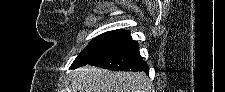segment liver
I'll return each instance as SVG.
<instances>
[{"mask_svg": "<svg viewBox=\"0 0 225 92\" xmlns=\"http://www.w3.org/2000/svg\"><path fill=\"white\" fill-rule=\"evenodd\" d=\"M72 92H151L143 72H113L85 66L72 72Z\"/></svg>", "mask_w": 225, "mask_h": 92, "instance_id": "liver-1", "label": "liver"}]
</instances>
